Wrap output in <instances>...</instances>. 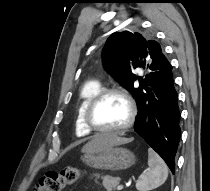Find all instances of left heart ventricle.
I'll return each instance as SVG.
<instances>
[{
  "mask_svg": "<svg viewBox=\"0 0 210 191\" xmlns=\"http://www.w3.org/2000/svg\"><path fill=\"white\" fill-rule=\"evenodd\" d=\"M128 116L126 101L118 95H108L96 106L93 120L101 128L113 129L124 125Z\"/></svg>",
  "mask_w": 210,
  "mask_h": 191,
  "instance_id": "b2bd125f",
  "label": "left heart ventricle"
}]
</instances>
